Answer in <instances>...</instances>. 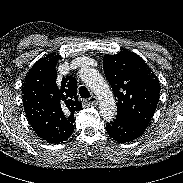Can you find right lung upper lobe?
<instances>
[{"label": "right lung upper lobe", "mask_w": 183, "mask_h": 183, "mask_svg": "<svg viewBox=\"0 0 183 183\" xmlns=\"http://www.w3.org/2000/svg\"><path fill=\"white\" fill-rule=\"evenodd\" d=\"M59 55L49 54L30 69L22 84L23 105L37 135L49 143L67 140L74 131V113L81 110L75 77L57 79Z\"/></svg>", "instance_id": "obj_1"}]
</instances>
